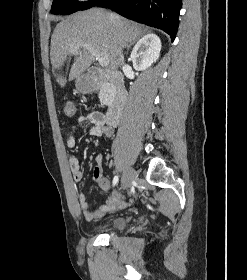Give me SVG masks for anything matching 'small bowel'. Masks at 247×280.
I'll return each mask as SVG.
<instances>
[{"label":"small bowel","mask_w":247,"mask_h":280,"mask_svg":"<svg viewBox=\"0 0 247 280\" xmlns=\"http://www.w3.org/2000/svg\"><path fill=\"white\" fill-rule=\"evenodd\" d=\"M82 127L88 128L89 134L96 137L103 135L111 137L114 133L113 128L108 125L106 117L103 113L98 111L90 112L77 118L76 125L73 127V132L68 135L66 140V146L68 148L73 149L76 146V137L74 132ZM96 163L97 165L93 170V178L103 191H109L110 182L103 175L101 155L96 156ZM69 165L74 181L81 182L84 178L83 170L78 158L73 154L69 157ZM77 199L83 216L87 221L100 218L108 212L122 208L125 205L124 200L117 192H111L107 199L95 209L90 208L87 197L84 193H79L77 195Z\"/></svg>","instance_id":"small-bowel-1"}]
</instances>
